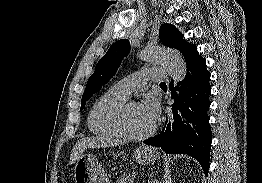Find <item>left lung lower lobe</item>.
Instances as JSON below:
<instances>
[{
    "label": "left lung lower lobe",
    "instance_id": "left-lung-lower-lobe-1",
    "mask_svg": "<svg viewBox=\"0 0 262 183\" xmlns=\"http://www.w3.org/2000/svg\"><path fill=\"white\" fill-rule=\"evenodd\" d=\"M187 73L178 86L170 83L173 114L166 118L165 127L157 136L144 140L145 144L160 147L169 154H187L194 157L207 174L211 148V129L208 107L210 73L206 60L197 50L186 59Z\"/></svg>",
    "mask_w": 262,
    "mask_h": 183
}]
</instances>
